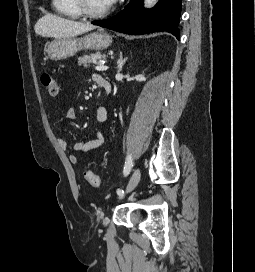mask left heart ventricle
Here are the masks:
<instances>
[{
	"label": "left heart ventricle",
	"instance_id": "b2bd125f",
	"mask_svg": "<svg viewBox=\"0 0 255 272\" xmlns=\"http://www.w3.org/2000/svg\"><path fill=\"white\" fill-rule=\"evenodd\" d=\"M88 7L94 12H102L110 7L107 0H87Z\"/></svg>",
	"mask_w": 255,
	"mask_h": 272
}]
</instances>
